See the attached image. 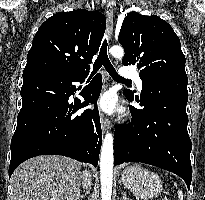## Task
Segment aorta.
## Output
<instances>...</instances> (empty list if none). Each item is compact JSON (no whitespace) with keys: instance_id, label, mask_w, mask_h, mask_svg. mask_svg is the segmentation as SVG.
<instances>
[{"instance_id":"aorta-1","label":"aorta","mask_w":205,"mask_h":200,"mask_svg":"<svg viewBox=\"0 0 205 200\" xmlns=\"http://www.w3.org/2000/svg\"><path fill=\"white\" fill-rule=\"evenodd\" d=\"M110 53L114 58H122L124 50L121 46H113ZM113 136L107 133L103 139L100 154L101 200H111L113 184Z\"/></svg>"}]
</instances>
